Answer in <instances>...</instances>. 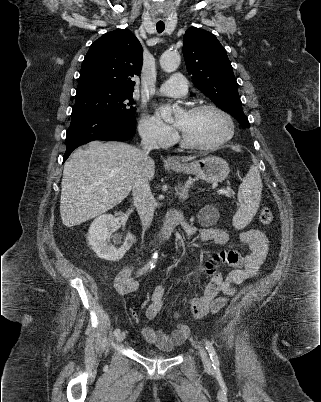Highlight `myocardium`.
<instances>
[{
    "label": "myocardium",
    "mask_w": 321,
    "mask_h": 402,
    "mask_svg": "<svg viewBox=\"0 0 321 402\" xmlns=\"http://www.w3.org/2000/svg\"><path fill=\"white\" fill-rule=\"evenodd\" d=\"M207 109L214 110L224 117L228 125V131L226 135L216 142L208 144H200L189 140L186 137V135L182 131H180V141L184 147L196 150H214L224 146L234 137L235 134L234 120L232 116L220 106L213 103H202L192 106L189 109V112H198Z\"/></svg>",
    "instance_id": "1"
}]
</instances>
